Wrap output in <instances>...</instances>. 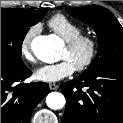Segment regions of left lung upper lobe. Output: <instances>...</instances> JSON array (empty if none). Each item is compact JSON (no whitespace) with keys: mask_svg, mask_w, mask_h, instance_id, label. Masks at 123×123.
Masks as SVG:
<instances>
[{"mask_svg":"<svg viewBox=\"0 0 123 123\" xmlns=\"http://www.w3.org/2000/svg\"><path fill=\"white\" fill-rule=\"evenodd\" d=\"M72 16L92 27L98 37L97 57L83 74L109 63H123V27L109 10L91 5L73 9Z\"/></svg>","mask_w":123,"mask_h":123,"instance_id":"left-lung-upper-lobe-1","label":"left lung upper lobe"}]
</instances>
